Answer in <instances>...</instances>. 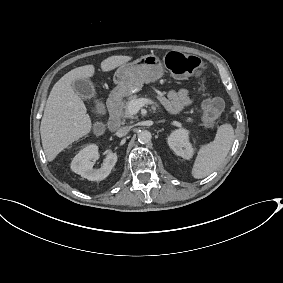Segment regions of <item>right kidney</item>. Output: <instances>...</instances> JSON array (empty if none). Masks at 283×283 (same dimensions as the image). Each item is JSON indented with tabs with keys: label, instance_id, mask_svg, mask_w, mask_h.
Wrapping results in <instances>:
<instances>
[{
	"label": "right kidney",
	"instance_id": "obj_1",
	"mask_svg": "<svg viewBox=\"0 0 283 283\" xmlns=\"http://www.w3.org/2000/svg\"><path fill=\"white\" fill-rule=\"evenodd\" d=\"M104 154L105 158L101 169H93L94 163L91 160H99L100 152L95 145H90L74 157L71 163V169L89 181L103 180L110 174L118 159L117 153L110 147L104 149Z\"/></svg>",
	"mask_w": 283,
	"mask_h": 283
}]
</instances>
